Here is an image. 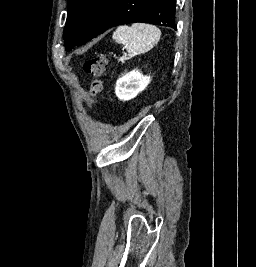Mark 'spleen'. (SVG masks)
Returning a JSON list of instances; mask_svg holds the SVG:
<instances>
[{"instance_id":"obj_1","label":"spleen","mask_w":256,"mask_h":267,"mask_svg":"<svg viewBox=\"0 0 256 267\" xmlns=\"http://www.w3.org/2000/svg\"><path fill=\"white\" fill-rule=\"evenodd\" d=\"M161 32L157 26L151 24H132V26H119L113 32V40L123 44L130 56H138L152 50L160 40Z\"/></svg>"}]
</instances>
